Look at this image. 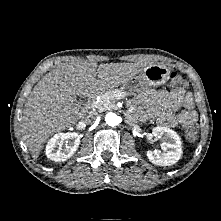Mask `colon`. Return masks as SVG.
I'll return each instance as SVG.
<instances>
[{
	"label": "colon",
	"instance_id": "5ec220e1",
	"mask_svg": "<svg viewBox=\"0 0 221 221\" xmlns=\"http://www.w3.org/2000/svg\"><path fill=\"white\" fill-rule=\"evenodd\" d=\"M184 84L183 78L177 73L173 72L170 75V87L171 88H179ZM186 137L189 140H195L198 133L197 124L195 121H186L182 124Z\"/></svg>",
	"mask_w": 221,
	"mask_h": 221
}]
</instances>
